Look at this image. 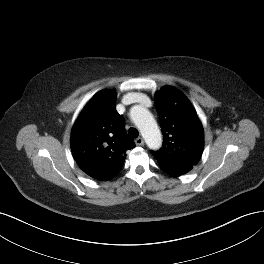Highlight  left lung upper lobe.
Here are the masks:
<instances>
[{
	"label": "left lung upper lobe",
	"instance_id": "obj_1",
	"mask_svg": "<svg viewBox=\"0 0 264 264\" xmlns=\"http://www.w3.org/2000/svg\"><path fill=\"white\" fill-rule=\"evenodd\" d=\"M155 105L161 120L163 147L152 153L167 174H185L198 163L204 148L198 115L186 96L169 86L156 93Z\"/></svg>",
	"mask_w": 264,
	"mask_h": 264
}]
</instances>
